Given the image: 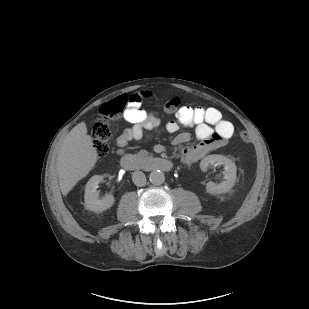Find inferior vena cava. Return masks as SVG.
Returning <instances> with one entry per match:
<instances>
[{
	"label": "inferior vena cava",
	"mask_w": 309,
	"mask_h": 309,
	"mask_svg": "<svg viewBox=\"0 0 309 309\" xmlns=\"http://www.w3.org/2000/svg\"><path fill=\"white\" fill-rule=\"evenodd\" d=\"M132 180L136 186H144L146 184V176L142 171H135L132 174Z\"/></svg>",
	"instance_id": "602c4592"
}]
</instances>
